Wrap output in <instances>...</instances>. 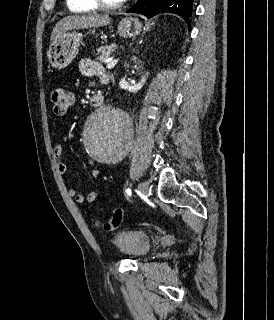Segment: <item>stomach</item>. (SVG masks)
<instances>
[{"label": "stomach", "instance_id": "1", "mask_svg": "<svg viewBox=\"0 0 274 320\" xmlns=\"http://www.w3.org/2000/svg\"><path fill=\"white\" fill-rule=\"evenodd\" d=\"M143 26L137 18H123L117 26L119 36L122 38H135L139 36ZM82 44V34L79 32H63L55 42H52L48 52L47 58L52 68H66L74 60L78 54V48Z\"/></svg>", "mask_w": 274, "mask_h": 320}]
</instances>
